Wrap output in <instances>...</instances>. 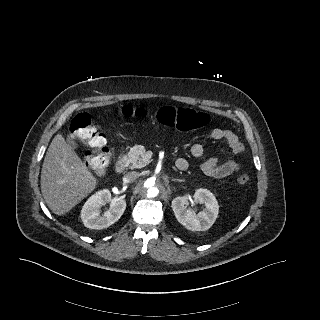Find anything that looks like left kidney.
Segmentation results:
<instances>
[{
	"mask_svg": "<svg viewBox=\"0 0 320 320\" xmlns=\"http://www.w3.org/2000/svg\"><path fill=\"white\" fill-rule=\"evenodd\" d=\"M191 197V196H190ZM189 195L173 199L171 207L176 219L186 229L191 231L208 230L218 217L219 206L215 196L207 189H197L193 195L194 202L204 204L205 208L196 214L187 208Z\"/></svg>",
	"mask_w": 320,
	"mask_h": 320,
	"instance_id": "obj_1",
	"label": "left kidney"
}]
</instances>
